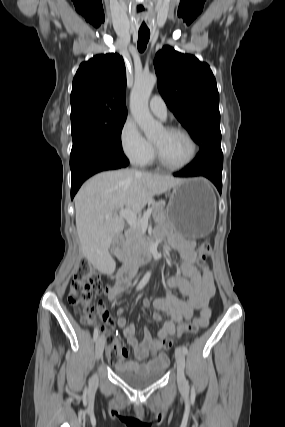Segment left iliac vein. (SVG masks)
Segmentation results:
<instances>
[{
  "mask_svg": "<svg viewBox=\"0 0 285 427\" xmlns=\"http://www.w3.org/2000/svg\"><path fill=\"white\" fill-rule=\"evenodd\" d=\"M175 357H176V363H177V380L178 385L182 389L188 388V383L186 381L185 375H184V368H185V355L182 350V348L177 347L175 350Z\"/></svg>",
  "mask_w": 285,
  "mask_h": 427,
  "instance_id": "obj_1",
  "label": "left iliac vein"
}]
</instances>
